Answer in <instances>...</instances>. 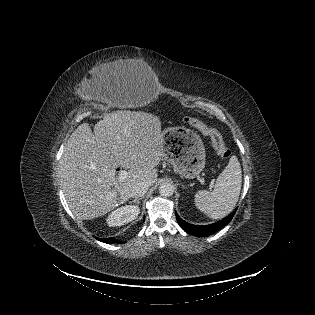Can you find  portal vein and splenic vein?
Listing matches in <instances>:
<instances>
[{"instance_id": "18ae733b", "label": "portal vein and splenic vein", "mask_w": 315, "mask_h": 315, "mask_svg": "<svg viewBox=\"0 0 315 315\" xmlns=\"http://www.w3.org/2000/svg\"><path fill=\"white\" fill-rule=\"evenodd\" d=\"M127 176H128V171L121 170L120 173H119L118 178H119V180H124L125 178H127Z\"/></svg>"}]
</instances>
